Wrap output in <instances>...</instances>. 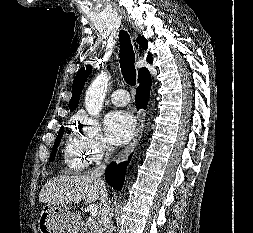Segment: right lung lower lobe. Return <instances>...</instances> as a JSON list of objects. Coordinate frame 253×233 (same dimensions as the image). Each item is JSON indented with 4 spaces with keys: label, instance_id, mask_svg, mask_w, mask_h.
Wrapping results in <instances>:
<instances>
[{
    "label": "right lung lower lobe",
    "instance_id": "1",
    "mask_svg": "<svg viewBox=\"0 0 253 233\" xmlns=\"http://www.w3.org/2000/svg\"><path fill=\"white\" fill-rule=\"evenodd\" d=\"M138 82L140 83V85L137 87L136 90V107L138 109H145L147 107L151 87L150 72L148 70L144 71L142 75L138 77ZM126 167L127 162H123L118 165L112 162L105 171V180L107 181V183L113 188L121 190L124 183Z\"/></svg>",
    "mask_w": 253,
    "mask_h": 233
}]
</instances>
